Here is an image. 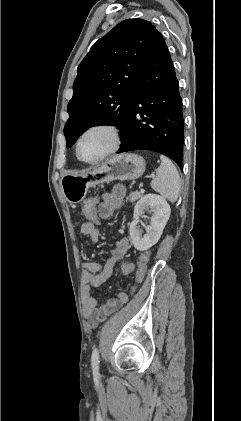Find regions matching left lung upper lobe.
I'll list each match as a JSON object with an SVG mask.
<instances>
[{
  "label": "left lung upper lobe",
  "mask_w": 241,
  "mask_h": 421,
  "mask_svg": "<svg viewBox=\"0 0 241 421\" xmlns=\"http://www.w3.org/2000/svg\"><path fill=\"white\" fill-rule=\"evenodd\" d=\"M159 34L146 20L127 19L92 46L77 68L67 108V148L95 125L117 126L123 137L137 82Z\"/></svg>",
  "instance_id": "5c2ea615"
}]
</instances>
